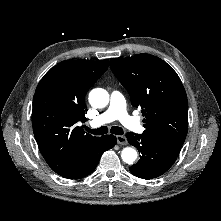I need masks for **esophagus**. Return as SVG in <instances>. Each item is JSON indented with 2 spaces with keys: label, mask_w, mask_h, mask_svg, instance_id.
<instances>
[{
  "label": "esophagus",
  "mask_w": 221,
  "mask_h": 221,
  "mask_svg": "<svg viewBox=\"0 0 221 221\" xmlns=\"http://www.w3.org/2000/svg\"><path fill=\"white\" fill-rule=\"evenodd\" d=\"M117 143L120 145H126L127 144V139L123 135H118L117 136Z\"/></svg>",
  "instance_id": "1"
}]
</instances>
